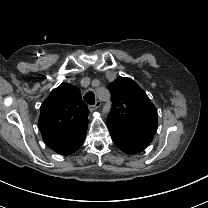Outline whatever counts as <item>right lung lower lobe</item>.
<instances>
[{
	"label": "right lung lower lobe",
	"mask_w": 208,
	"mask_h": 208,
	"mask_svg": "<svg viewBox=\"0 0 208 208\" xmlns=\"http://www.w3.org/2000/svg\"><path fill=\"white\" fill-rule=\"evenodd\" d=\"M87 127L76 135L57 142L47 144L52 150L61 155H69L77 151L83 144L86 137Z\"/></svg>",
	"instance_id": "98d812e1"
}]
</instances>
